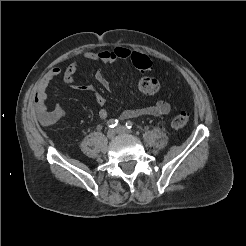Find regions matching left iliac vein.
Returning <instances> with one entry per match:
<instances>
[{
	"label": "left iliac vein",
	"mask_w": 246,
	"mask_h": 246,
	"mask_svg": "<svg viewBox=\"0 0 246 246\" xmlns=\"http://www.w3.org/2000/svg\"><path fill=\"white\" fill-rule=\"evenodd\" d=\"M116 133L118 134H131V132L124 126H118L115 129Z\"/></svg>",
	"instance_id": "1"
}]
</instances>
